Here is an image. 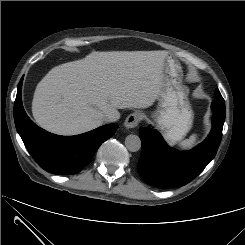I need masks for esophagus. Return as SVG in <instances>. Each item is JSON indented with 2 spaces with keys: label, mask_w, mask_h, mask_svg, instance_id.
<instances>
[{
  "label": "esophagus",
  "mask_w": 245,
  "mask_h": 245,
  "mask_svg": "<svg viewBox=\"0 0 245 245\" xmlns=\"http://www.w3.org/2000/svg\"><path fill=\"white\" fill-rule=\"evenodd\" d=\"M141 119H142L141 113H139V112L131 113L126 118V120L124 122V126L127 129L135 128V127L138 126V124L140 123Z\"/></svg>",
  "instance_id": "34e87169"
}]
</instances>
